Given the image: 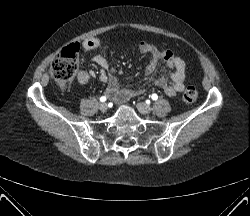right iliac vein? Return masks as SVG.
<instances>
[{
    "label": "right iliac vein",
    "mask_w": 250,
    "mask_h": 216,
    "mask_svg": "<svg viewBox=\"0 0 250 216\" xmlns=\"http://www.w3.org/2000/svg\"><path fill=\"white\" fill-rule=\"evenodd\" d=\"M99 109H100V111H102V112H106L107 109H108V106H107L106 103H101L100 106H99Z\"/></svg>",
    "instance_id": "right-iliac-vein-1"
}]
</instances>
